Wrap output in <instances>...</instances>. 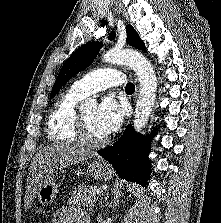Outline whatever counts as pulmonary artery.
Masks as SVG:
<instances>
[{
	"label": "pulmonary artery",
	"instance_id": "pulmonary-artery-1",
	"mask_svg": "<svg viewBox=\"0 0 221 223\" xmlns=\"http://www.w3.org/2000/svg\"><path fill=\"white\" fill-rule=\"evenodd\" d=\"M125 82V74L115 68L91 71L77 79L71 86L78 95L85 97L112 86H121Z\"/></svg>",
	"mask_w": 221,
	"mask_h": 223
}]
</instances>
